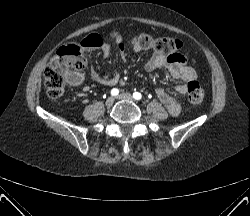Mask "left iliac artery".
I'll use <instances>...</instances> for the list:
<instances>
[{"mask_svg": "<svg viewBox=\"0 0 250 216\" xmlns=\"http://www.w3.org/2000/svg\"><path fill=\"white\" fill-rule=\"evenodd\" d=\"M133 98L136 100H140L142 98V95L139 92H134L133 93Z\"/></svg>", "mask_w": 250, "mask_h": 216, "instance_id": "obj_1", "label": "left iliac artery"}]
</instances>
